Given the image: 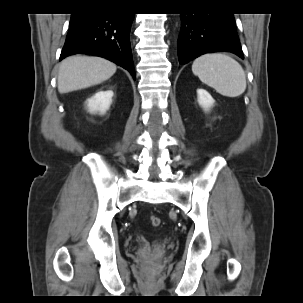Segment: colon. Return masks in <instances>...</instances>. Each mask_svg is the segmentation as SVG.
Returning a JSON list of instances; mask_svg holds the SVG:
<instances>
[{
    "label": "colon",
    "instance_id": "5ec220e1",
    "mask_svg": "<svg viewBox=\"0 0 303 303\" xmlns=\"http://www.w3.org/2000/svg\"><path fill=\"white\" fill-rule=\"evenodd\" d=\"M149 222L152 226H159L161 223V219H160V217H158L156 215H152L149 218Z\"/></svg>",
    "mask_w": 303,
    "mask_h": 303
}]
</instances>
